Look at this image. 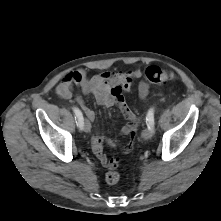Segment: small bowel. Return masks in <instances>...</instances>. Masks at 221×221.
Masks as SVG:
<instances>
[{
	"mask_svg": "<svg viewBox=\"0 0 221 221\" xmlns=\"http://www.w3.org/2000/svg\"><path fill=\"white\" fill-rule=\"evenodd\" d=\"M142 77V71L135 69L130 72H111L104 71L98 73L92 77L87 75V72L83 69H79L66 74L61 83L58 85V93L61 97L69 99L73 96V87L79 86L85 95H92L99 105L105 107H111L117 105L116 103V90L124 83L129 85V88L133 81ZM138 94L141 99H146L150 92V86L147 82L141 80L137 86ZM75 100L82 107L86 117L91 122H95L96 114L93 109L88 107L81 96H76ZM131 115L125 118L128 123L121 129V135L129 134L136 119V115L130 110ZM111 147L116 146V141L106 138L105 135L96 129L95 133L91 137V149L97 159L105 167H109V162L113 158H109L104 152V146ZM130 147H126L124 150L129 151Z\"/></svg>",
	"mask_w": 221,
	"mask_h": 221,
	"instance_id": "small-bowel-1",
	"label": "small bowel"
}]
</instances>
